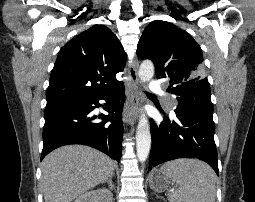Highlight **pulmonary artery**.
Returning <instances> with one entry per match:
<instances>
[{"label": "pulmonary artery", "mask_w": 255, "mask_h": 202, "mask_svg": "<svg viewBox=\"0 0 255 202\" xmlns=\"http://www.w3.org/2000/svg\"><path fill=\"white\" fill-rule=\"evenodd\" d=\"M149 89L156 94H162L163 93V89L160 85L159 81H151V83L149 84ZM169 107L171 109H174L176 107V102L174 100H171L169 103Z\"/></svg>", "instance_id": "pulmonary-artery-1"}]
</instances>
